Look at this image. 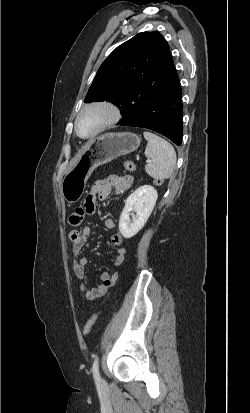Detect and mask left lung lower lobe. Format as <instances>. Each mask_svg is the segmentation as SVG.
I'll use <instances>...</instances> for the list:
<instances>
[{
    "instance_id": "1",
    "label": "left lung lower lobe",
    "mask_w": 250,
    "mask_h": 413,
    "mask_svg": "<svg viewBox=\"0 0 250 413\" xmlns=\"http://www.w3.org/2000/svg\"><path fill=\"white\" fill-rule=\"evenodd\" d=\"M120 110L123 118L119 125L151 129L181 145V85L172 56L167 71L154 81L142 83Z\"/></svg>"
}]
</instances>
